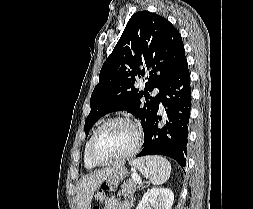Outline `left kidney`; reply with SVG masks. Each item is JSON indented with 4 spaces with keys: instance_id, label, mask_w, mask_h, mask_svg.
<instances>
[{
    "instance_id": "left-kidney-1",
    "label": "left kidney",
    "mask_w": 253,
    "mask_h": 209,
    "mask_svg": "<svg viewBox=\"0 0 253 209\" xmlns=\"http://www.w3.org/2000/svg\"><path fill=\"white\" fill-rule=\"evenodd\" d=\"M174 201L173 192L168 188L148 190L136 209H171Z\"/></svg>"
}]
</instances>
